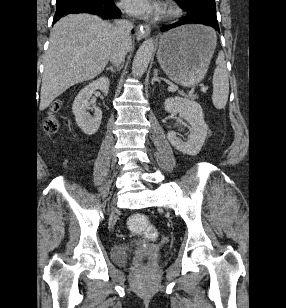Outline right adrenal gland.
Masks as SVG:
<instances>
[{"label":"right adrenal gland","instance_id":"1","mask_svg":"<svg viewBox=\"0 0 286 308\" xmlns=\"http://www.w3.org/2000/svg\"><path fill=\"white\" fill-rule=\"evenodd\" d=\"M107 71H111L112 73H115L120 70V67L114 68V67H107Z\"/></svg>","mask_w":286,"mask_h":308}]
</instances>
